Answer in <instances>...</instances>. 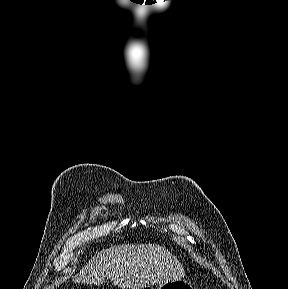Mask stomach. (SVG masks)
I'll use <instances>...</instances> for the list:
<instances>
[{
  "label": "stomach",
  "mask_w": 288,
  "mask_h": 289,
  "mask_svg": "<svg viewBox=\"0 0 288 289\" xmlns=\"http://www.w3.org/2000/svg\"><path fill=\"white\" fill-rule=\"evenodd\" d=\"M146 289H154L146 287ZM158 289H193L192 285L184 279L170 280L159 284Z\"/></svg>",
  "instance_id": "stomach-1"
}]
</instances>
